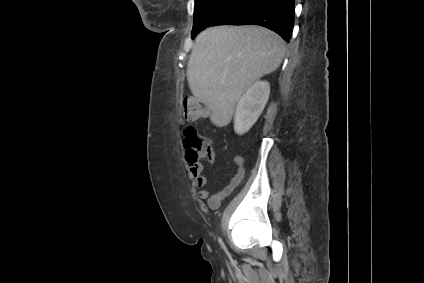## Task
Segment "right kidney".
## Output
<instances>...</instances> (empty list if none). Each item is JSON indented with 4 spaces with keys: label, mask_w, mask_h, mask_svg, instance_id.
I'll return each mask as SVG.
<instances>
[{
    "label": "right kidney",
    "mask_w": 424,
    "mask_h": 283,
    "mask_svg": "<svg viewBox=\"0 0 424 283\" xmlns=\"http://www.w3.org/2000/svg\"><path fill=\"white\" fill-rule=\"evenodd\" d=\"M270 85L256 81L240 98L234 116V130L241 135L249 131L265 108L269 99Z\"/></svg>",
    "instance_id": "ca27d5eb"
}]
</instances>
